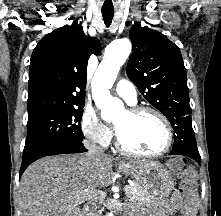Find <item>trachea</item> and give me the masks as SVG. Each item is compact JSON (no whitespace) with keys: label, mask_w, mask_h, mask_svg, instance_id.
<instances>
[{"label":"trachea","mask_w":221,"mask_h":216,"mask_svg":"<svg viewBox=\"0 0 221 216\" xmlns=\"http://www.w3.org/2000/svg\"><path fill=\"white\" fill-rule=\"evenodd\" d=\"M103 19L105 22V25L109 27L112 23V19L114 16V10H102Z\"/></svg>","instance_id":"1"}]
</instances>
